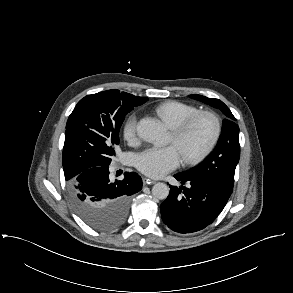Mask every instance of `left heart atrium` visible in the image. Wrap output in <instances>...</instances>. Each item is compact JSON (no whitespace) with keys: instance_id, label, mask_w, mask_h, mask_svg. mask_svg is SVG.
<instances>
[{"instance_id":"39dd6f15","label":"left heart atrium","mask_w":293,"mask_h":293,"mask_svg":"<svg viewBox=\"0 0 293 293\" xmlns=\"http://www.w3.org/2000/svg\"><path fill=\"white\" fill-rule=\"evenodd\" d=\"M181 162V152L176 145L148 148L136 157V166L144 174L159 178L175 169Z\"/></svg>"}]
</instances>
